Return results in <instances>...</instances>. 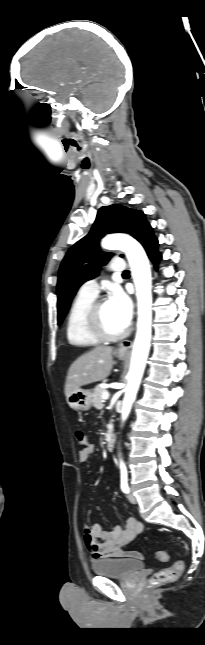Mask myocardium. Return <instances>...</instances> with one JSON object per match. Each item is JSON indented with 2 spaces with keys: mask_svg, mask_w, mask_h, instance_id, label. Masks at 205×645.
Wrapping results in <instances>:
<instances>
[{
  "mask_svg": "<svg viewBox=\"0 0 205 645\" xmlns=\"http://www.w3.org/2000/svg\"><path fill=\"white\" fill-rule=\"evenodd\" d=\"M106 302L105 299H95L90 305L86 314V325L89 332L100 341H117L124 338L128 330L124 329L119 333L108 332L102 323L101 307Z\"/></svg>",
  "mask_w": 205,
  "mask_h": 645,
  "instance_id": "obj_1",
  "label": "myocardium"
}]
</instances>
